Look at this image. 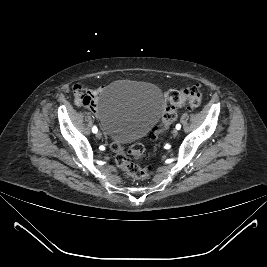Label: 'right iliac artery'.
Returning <instances> with one entry per match:
<instances>
[{
    "instance_id": "1",
    "label": "right iliac artery",
    "mask_w": 267,
    "mask_h": 267,
    "mask_svg": "<svg viewBox=\"0 0 267 267\" xmlns=\"http://www.w3.org/2000/svg\"><path fill=\"white\" fill-rule=\"evenodd\" d=\"M92 132H93V133H96V132H97V127H96V126H94V127L92 128Z\"/></svg>"
}]
</instances>
